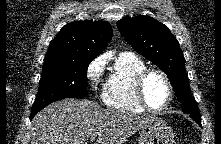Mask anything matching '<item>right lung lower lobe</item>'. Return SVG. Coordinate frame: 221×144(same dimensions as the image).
I'll return each mask as SVG.
<instances>
[{"instance_id": "right-lung-lower-lobe-1", "label": "right lung lower lobe", "mask_w": 221, "mask_h": 144, "mask_svg": "<svg viewBox=\"0 0 221 144\" xmlns=\"http://www.w3.org/2000/svg\"><path fill=\"white\" fill-rule=\"evenodd\" d=\"M35 114H37V113H31L30 119H32Z\"/></svg>"}]
</instances>
